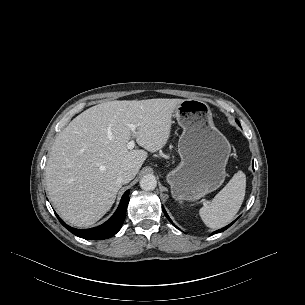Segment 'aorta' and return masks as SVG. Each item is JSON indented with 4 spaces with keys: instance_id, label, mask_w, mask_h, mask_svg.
<instances>
[{
    "instance_id": "obj_1",
    "label": "aorta",
    "mask_w": 305,
    "mask_h": 305,
    "mask_svg": "<svg viewBox=\"0 0 305 305\" xmlns=\"http://www.w3.org/2000/svg\"><path fill=\"white\" fill-rule=\"evenodd\" d=\"M157 186V181L154 175L148 174L141 178L140 187L143 190L151 191L154 190Z\"/></svg>"
}]
</instances>
